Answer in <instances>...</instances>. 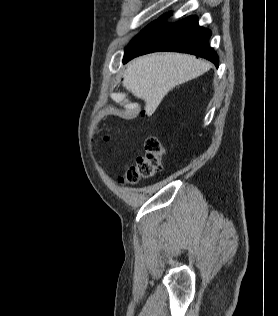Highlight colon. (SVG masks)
Masks as SVG:
<instances>
[{
    "mask_svg": "<svg viewBox=\"0 0 278 316\" xmlns=\"http://www.w3.org/2000/svg\"><path fill=\"white\" fill-rule=\"evenodd\" d=\"M164 152L165 148L160 139L155 135H148L145 139V154L137 158L120 181L136 184L142 179L153 177L162 169Z\"/></svg>",
    "mask_w": 278,
    "mask_h": 316,
    "instance_id": "1",
    "label": "colon"
}]
</instances>
